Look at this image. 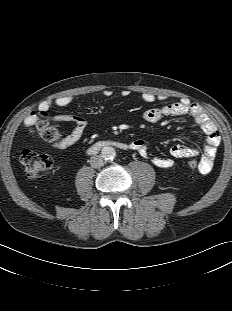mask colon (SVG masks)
Instances as JSON below:
<instances>
[{"instance_id": "5ec220e1", "label": "colon", "mask_w": 232, "mask_h": 311, "mask_svg": "<svg viewBox=\"0 0 232 311\" xmlns=\"http://www.w3.org/2000/svg\"><path fill=\"white\" fill-rule=\"evenodd\" d=\"M34 129L39 138L44 142L55 143L59 141L57 130L44 121L38 122ZM20 160L29 178H36L52 167V160L48 155L39 154L29 149L22 152ZM187 165L193 170L199 167L198 161L193 156L188 159Z\"/></svg>"}]
</instances>
